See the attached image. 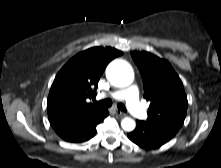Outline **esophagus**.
<instances>
[{"label":"esophagus","instance_id":"obj_1","mask_svg":"<svg viewBox=\"0 0 221 168\" xmlns=\"http://www.w3.org/2000/svg\"><path fill=\"white\" fill-rule=\"evenodd\" d=\"M115 114L120 116V117H124L126 116V113L122 112L121 110L119 109H115Z\"/></svg>","mask_w":221,"mask_h":168}]
</instances>
